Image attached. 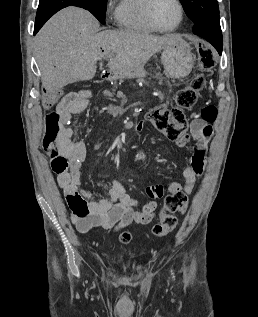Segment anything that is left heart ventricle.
<instances>
[{
    "mask_svg": "<svg viewBox=\"0 0 258 317\" xmlns=\"http://www.w3.org/2000/svg\"><path fill=\"white\" fill-rule=\"evenodd\" d=\"M152 17L159 27H172L179 17V8L176 1L157 0L152 8Z\"/></svg>",
    "mask_w": 258,
    "mask_h": 317,
    "instance_id": "left-heart-ventricle-1",
    "label": "left heart ventricle"
}]
</instances>
